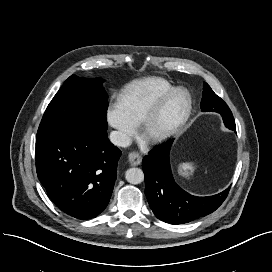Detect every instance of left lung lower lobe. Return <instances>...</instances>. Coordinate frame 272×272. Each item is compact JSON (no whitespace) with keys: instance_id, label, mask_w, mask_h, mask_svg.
<instances>
[{"instance_id":"left-lung-lower-lobe-1","label":"left lung lower lobe","mask_w":272,"mask_h":272,"mask_svg":"<svg viewBox=\"0 0 272 272\" xmlns=\"http://www.w3.org/2000/svg\"><path fill=\"white\" fill-rule=\"evenodd\" d=\"M224 124L232 130L234 120L231 111L220 113ZM235 122V121H234ZM173 140L155 147L142 161L145 175V195L155 216L170 224H183L204 217L215 211L226 199L229 188L207 197L193 196L174 181L169 163V151Z\"/></svg>"}]
</instances>
